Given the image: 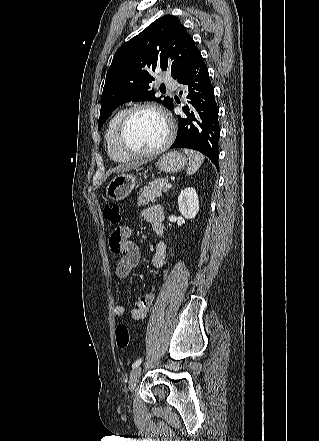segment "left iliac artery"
Listing matches in <instances>:
<instances>
[{
	"mask_svg": "<svg viewBox=\"0 0 319 441\" xmlns=\"http://www.w3.org/2000/svg\"><path fill=\"white\" fill-rule=\"evenodd\" d=\"M141 362H142V358L137 359V360L133 363L132 368L134 369V368L138 367V366L141 364Z\"/></svg>",
	"mask_w": 319,
	"mask_h": 441,
	"instance_id": "1",
	"label": "left iliac artery"
}]
</instances>
